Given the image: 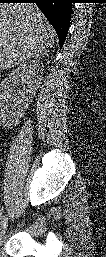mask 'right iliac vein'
Instances as JSON below:
<instances>
[{
	"label": "right iliac vein",
	"instance_id": "1",
	"mask_svg": "<svg viewBox=\"0 0 106 257\" xmlns=\"http://www.w3.org/2000/svg\"><path fill=\"white\" fill-rule=\"evenodd\" d=\"M7 226H8V218H5L1 223V228H0L1 233L5 232Z\"/></svg>",
	"mask_w": 106,
	"mask_h": 257
}]
</instances>
